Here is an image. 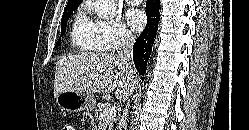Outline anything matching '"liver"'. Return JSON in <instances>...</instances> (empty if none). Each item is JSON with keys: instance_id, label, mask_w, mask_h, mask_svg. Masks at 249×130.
Segmentation results:
<instances>
[{"instance_id": "6515ba94", "label": "liver", "mask_w": 249, "mask_h": 130, "mask_svg": "<svg viewBox=\"0 0 249 130\" xmlns=\"http://www.w3.org/2000/svg\"><path fill=\"white\" fill-rule=\"evenodd\" d=\"M116 56L81 53L60 59L55 68L54 96L66 91L93 94L116 89V98L126 101L137 84V74H129Z\"/></svg>"}]
</instances>
